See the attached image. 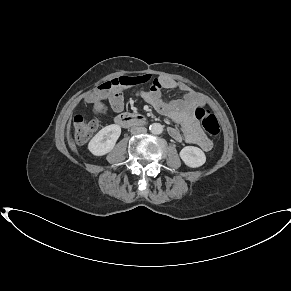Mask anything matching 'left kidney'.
<instances>
[{"mask_svg":"<svg viewBox=\"0 0 291 291\" xmlns=\"http://www.w3.org/2000/svg\"><path fill=\"white\" fill-rule=\"evenodd\" d=\"M182 161L191 168L202 166L206 162L204 152L195 146H186L180 151Z\"/></svg>","mask_w":291,"mask_h":291,"instance_id":"obj_1","label":"left kidney"}]
</instances>
